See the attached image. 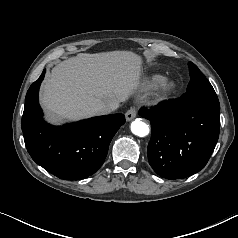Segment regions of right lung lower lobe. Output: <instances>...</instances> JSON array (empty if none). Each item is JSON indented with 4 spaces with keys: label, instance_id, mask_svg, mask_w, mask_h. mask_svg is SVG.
Listing matches in <instances>:
<instances>
[{
    "label": "right lung lower lobe",
    "instance_id": "obj_1",
    "mask_svg": "<svg viewBox=\"0 0 238 238\" xmlns=\"http://www.w3.org/2000/svg\"><path fill=\"white\" fill-rule=\"evenodd\" d=\"M45 70L30 86L21 121L26 148L32 159L63 180H78L94 174L103 164L109 144L125 123L123 114L52 126L42 117L38 91Z\"/></svg>",
    "mask_w": 238,
    "mask_h": 238
}]
</instances>
